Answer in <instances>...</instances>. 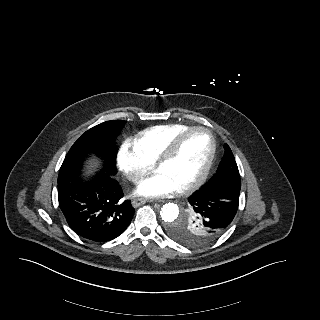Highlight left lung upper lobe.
<instances>
[{
  "label": "left lung upper lobe",
  "mask_w": 320,
  "mask_h": 320,
  "mask_svg": "<svg viewBox=\"0 0 320 320\" xmlns=\"http://www.w3.org/2000/svg\"><path fill=\"white\" fill-rule=\"evenodd\" d=\"M225 153L216 174L205 184L206 188H224L240 194L241 179L230 147L224 145ZM168 232L177 242L187 246H197L211 241L201 216L191 206L181 222L168 226Z\"/></svg>",
  "instance_id": "1"
}]
</instances>
